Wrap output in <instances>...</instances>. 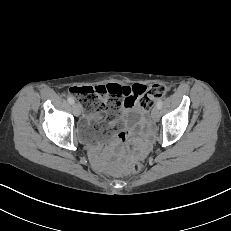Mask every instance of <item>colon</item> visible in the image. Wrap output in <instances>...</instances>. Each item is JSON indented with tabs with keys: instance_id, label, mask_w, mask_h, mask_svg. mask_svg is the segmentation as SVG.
I'll return each mask as SVG.
<instances>
[{
	"instance_id": "5ec220e1",
	"label": "colon",
	"mask_w": 231,
	"mask_h": 231,
	"mask_svg": "<svg viewBox=\"0 0 231 231\" xmlns=\"http://www.w3.org/2000/svg\"><path fill=\"white\" fill-rule=\"evenodd\" d=\"M134 95H129L130 90L118 84L99 85L95 87H80L73 86L70 93L83 106L85 111L91 113L96 110H103L106 117L117 111L122 105L132 107L136 102L144 109L150 110L156 98L166 94L167 88L162 84H153L147 87L142 84H136L131 87ZM105 117V118H106ZM114 130H116L120 122L113 120ZM127 134L119 133V138L125 140ZM142 164L134 162L131 166V171L134 173L140 172Z\"/></svg>"
}]
</instances>
